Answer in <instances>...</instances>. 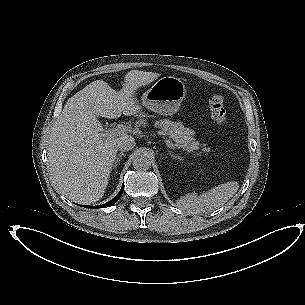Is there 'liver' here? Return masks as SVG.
Masks as SVG:
<instances>
[{
	"instance_id": "1",
	"label": "liver",
	"mask_w": 305,
	"mask_h": 305,
	"mask_svg": "<svg viewBox=\"0 0 305 305\" xmlns=\"http://www.w3.org/2000/svg\"><path fill=\"white\" fill-rule=\"evenodd\" d=\"M158 77L154 74L151 80ZM140 109L129 93H118L102 80L69 98L51 128L47 152L52 179L65 195L83 204L103 196L118 142L129 135L103 133L98 117L116 119Z\"/></svg>"
}]
</instances>
